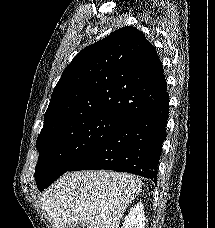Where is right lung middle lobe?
I'll return each instance as SVG.
<instances>
[{"instance_id":"dd1d6c3e","label":"right lung middle lobe","mask_w":215,"mask_h":228,"mask_svg":"<svg viewBox=\"0 0 215 228\" xmlns=\"http://www.w3.org/2000/svg\"><path fill=\"white\" fill-rule=\"evenodd\" d=\"M124 119L115 115H98L40 133L36 144L39 159L35 171L39 191L67 172Z\"/></svg>"}]
</instances>
